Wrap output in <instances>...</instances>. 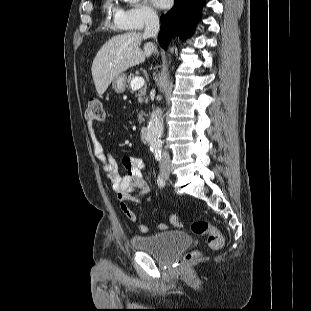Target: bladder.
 I'll list each match as a JSON object with an SVG mask.
<instances>
[{
    "mask_svg": "<svg viewBox=\"0 0 311 311\" xmlns=\"http://www.w3.org/2000/svg\"><path fill=\"white\" fill-rule=\"evenodd\" d=\"M131 244L137 251L151 253L160 261H168L190 245V237L183 231L171 230L150 235H134Z\"/></svg>",
    "mask_w": 311,
    "mask_h": 311,
    "instance_id": "1",
    "label": "bladder"
}]
</instances>
